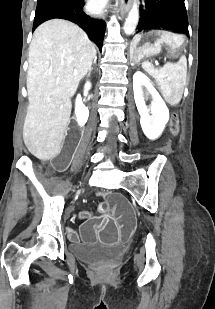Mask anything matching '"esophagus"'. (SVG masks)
Returning <instances> with one entry per match:
<instances>
[{
    "label": "esophagus",
    "mask_w": 215,
    "mask_h": 309,
    "mask_svg": "<svg viewBox=\"0 0 215 309\" xmlns=\"http://www.w3.org/2000/svg\"><path fill=\"white\" fill-rule=\"evenodd\" d=\"M132 4V0H120V10L121 15H124L127 13V11L130 9Z\"/></svg>",
    "instance_id": "esophagus-1"
}]
</instances>
